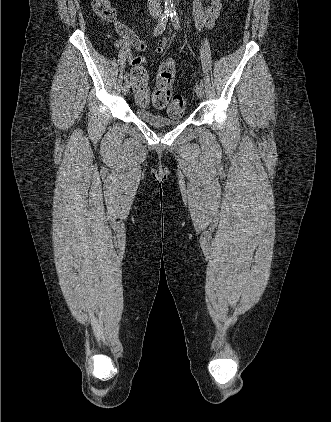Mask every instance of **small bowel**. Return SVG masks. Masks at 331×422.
<instances>
[{"label":"small bowel","instance_id":"1","mask_svg":"<svg viewBox=\"0 0 331 422\" xmlns=\"http://www.w3.org/2000/svg\"><path fill=\"white\" fill-rule=\"evenodd\" d=\"M205 0H193V17L198 29L211 28L213 27L216 19L218 18L221 8L222 0H209V4H204ZM116 31L124 36V41L120 43V46L125 50V56L127 61L133 66H141L147 60L145 56H132L130 54V47L133 46L139 51H144L147 48V44L139 39L129 29L122 27L119 23L116 24ZM168 46V39L161 37L154 50V55H162ZM131 83L133 85V91L136 97V103L141 106H146L149 103V99L143 103L140 100L141 92H145L149 97L148 90V79L145 81L131 77Z\"/></svg>","mask_w":331,"mask_h":422}]
</instances>
